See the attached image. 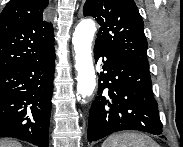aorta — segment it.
<instances>
[{"label":"aorta","mask_w":183,"mask_h":147,"mask_svg":"<svg viewBox=\"0 0 183 147\" xmlns=\"http://www.w3.org/2000/svg\"><path fill=\"white\" fill-rule=\"evenodd\" d=\"M95 32V22L91 19H83L76 26L72 38L77 71V95L82 98L91 96L96 86V75L91 52Z\"/></svg>","instance_id":"aorta-1"}]
</instances>
